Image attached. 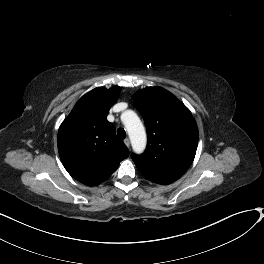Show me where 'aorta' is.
<instances>
[{
  "instance_id": "762f6f07",
  "label": "aorta",
  "mask_w": 264,
  "mask_h": 264,
  "mask_svg": "<svg viewBox=\"0 0 264 264\" xmlns=\"http://www.w3.org/2000/svg\"><path fill=\"white\" fill-rule=\"evenodd\" d=\"M122 121L128 132L134 152L142 153L146 147L147 137L140 118L134 111L127 110L122 115Z\"/></svg>"
}]
</instances>
